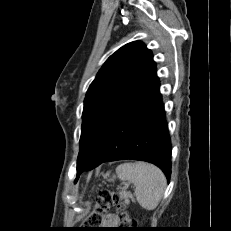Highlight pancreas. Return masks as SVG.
Returning <instances> with one entry per match:
<instances>
[{"label": "pancreas", "mask_w": 231, "mask_h": 231, "mask_svg": "<svg viewBox=\"0 0 231 231\" xmlns=\"http://www.w3.org/2000/svg\"><path fill=\"white\" fill-rule=\"evenodd\" d=\"M119 195H120V198L121 199H124L125 201V203H128L129 202V198H131V199H133V195L130 193V192H126V191H121L120 193H119Z\"/></svg>", "instance_id": "pancreas-1"}]
</instances>
